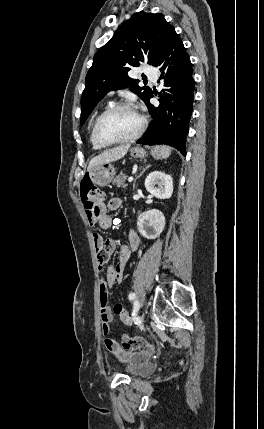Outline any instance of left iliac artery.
I'll list each match as a JSON object with an SVG mask.
<instances>
[{"label": "left iliac artery", "mask_w": 264, "mask_h": 429, "mask_svg": "<svg viewBox=\"0 0 264 429\" xmlns=\"http://www.w3.org/2000/svg\"><path fill=\"white\" fill-rule=\"evenodd\" d=\"M135 297H136L135 293H130L129 296H128V298L130 300H134Z\"/></svg>", "instance_id": "1"}]
</instances>
